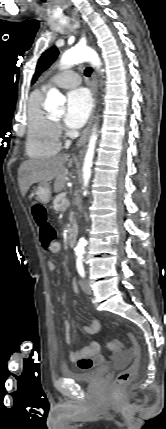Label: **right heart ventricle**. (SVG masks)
Here are the masks:
<instances>
[{"instance_id": "1", "label": "right heart ventricle", "mask_w": 166, "mask_h": 429, "mask_svg": "<svg viewBox=\"0 0 166 429\" xmlns=\"http://www.w3.org/2000/svg\"><path fill=\"white\" fill-rule=\"evenodd\" d=\"M44 91L30 95L27 109L26 152L33 159H45L55 155L60 148L56 125L43 108Z\"/></svg>"}]
</instances>
